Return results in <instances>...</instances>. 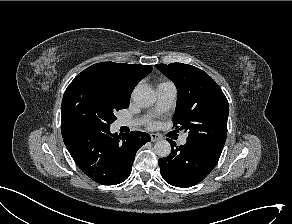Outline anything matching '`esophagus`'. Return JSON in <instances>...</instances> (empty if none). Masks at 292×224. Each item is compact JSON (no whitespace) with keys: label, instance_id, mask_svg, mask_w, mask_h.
<instances>
[{"label":"esophagus","instance_id":"obj_1","mask_svg":"<svg viewBox=\"0 0 292 224\" xmlns=\"http://www.w3.org/2000/svg\"><path fill=\"white\" fill-rule=\"evenodd\" d=\"M150 137H151L152 142H155V141H158L161 139V136L159 134H156V133H151Z\"/></svg>","mask_w":292,"mask_h":224}]
</instances>
